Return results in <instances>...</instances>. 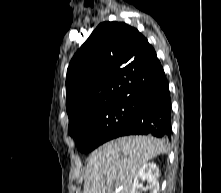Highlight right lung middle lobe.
<instances>
[{
	"instance_id": "right-lung-middle-lobe-1",
	"label": "right lung middle lobe",
	"mask_w": 221,
	"mask_h": 193,
	"mask_svg": "<svg viewBox=\"0 0 221 193\" xmlns=\"http://www.w3.org/2000/svg\"><path fill=\"white\" fill-rule=\"evenodd\" d=\"M138 107L139 99L115 101L79 120L69 134L78 138L76 142L78 149L88 153L111 140L122 127L131 121Z\"/></svg>"
}]
</instances>
